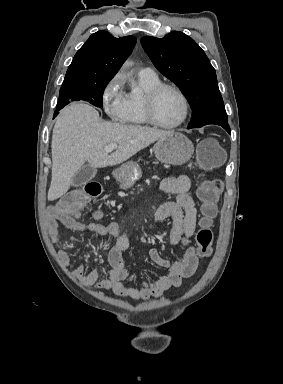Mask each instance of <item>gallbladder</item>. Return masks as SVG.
I'll use <instances>...</instances> for the list:
<instances>
[{"label":"gallbladder","mask_w":283,"mask_h":384,"mask_svg":"<svg viewBox=\"0 0 283 384\" xmlns=\"http://www.w3.org/2000/svg\"><path fill=\"white\" fill-rule=\"evenodd\" d=\"M96 175V172L94 171V167L92 165L89 166H82L78 172H76L72 186L74 188H78V186H84V184H87L89 180H91L92 177Z\"/></svg>","instance_id":"1"}]
</instances>
